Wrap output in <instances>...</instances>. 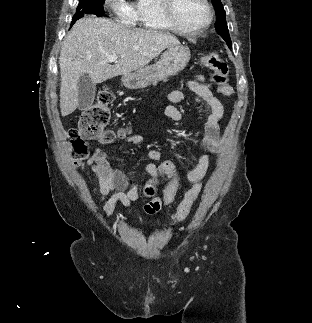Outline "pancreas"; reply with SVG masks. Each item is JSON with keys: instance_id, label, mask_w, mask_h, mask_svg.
<instances>
[{"instance_id": "obj_1", "label": "pancreas", "mask_w": 312, "mask_h": 323, "mask_svg": "<svg viewBox=\"0 0 312 323\" xmlns=\"http://www.w3.org/2000/svg\"><path fill=\"white\" fill-rule=\"evenodd\" d=\"M163 82H167V80H163ZM154 84H155V86H156L157 82H154Z\"/></svg>"}]
</instances>
